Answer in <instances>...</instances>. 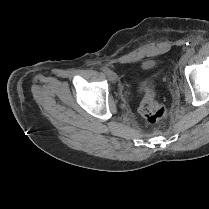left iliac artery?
<instances>
[{"label":"left iliac artery","instance_id":"1","mask_svg":"<svg viewBox=\"0 0 209 209\" xmlns=\"http://www.w3.org/2000/svg\"><path fill=\"white\" fill-rule=\"evenodd\" d=\"M194 53H195V49H194L193 47H191V48H189V49L187 50V54H188L189 56H192Z\"/></svg>","mask_w":209,"mask_h":209}]
</instances>
